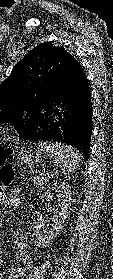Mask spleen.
Returning a JSON list of instances; mask_svg holds the SVG:
<instances>
[{"mask_svg":"<svg viewBox=\"0 0 113 279\" xmlns=\"http://www.w3.org/2000/svg\"><path fill=\"white\" fill-rule=\"evenodd\" d=\"M38 146L54 159L55 166L63 174L74 172L82 159L81 153L71 146L48 142H39Z\"/></svg>","mask_w":113,"mask_h":279,"instance_id":"1","label":"spleen"}]
</instances>
